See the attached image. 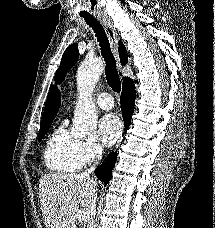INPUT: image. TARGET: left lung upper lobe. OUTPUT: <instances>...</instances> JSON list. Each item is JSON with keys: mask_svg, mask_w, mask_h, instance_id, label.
<instances>
[{"mask_svg": "<svg viewBox=\"0 0 215 228\" xmlns=\"http://www.w3.org/2000/svg\"><path fill=\"white\" fill-rule=\"evenodd\" d=\"M79 57L77 44L70 45L64 52L60 66L55 74V80L61 82L67 71L76 63Z\"/></svg>", "mask_w": 215, "mask_h": 228, "instance_id": "obj_1", "label": "left lung upper lobe"}]
</instances>
